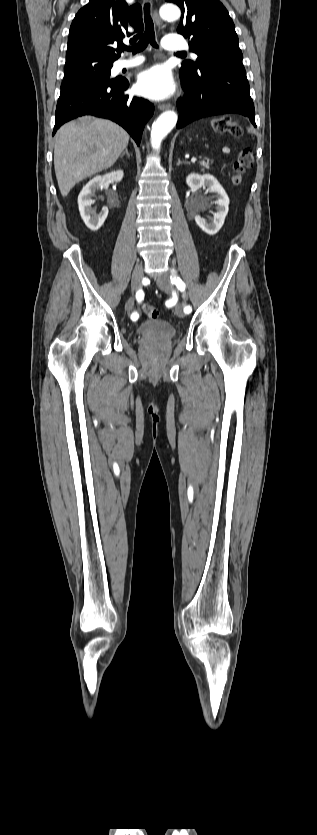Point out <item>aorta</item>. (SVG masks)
<instances>
[{
	"label": "aorta",
	"mask_w": 317,
	"mask_h": 835,
	"mask_svg": "<svg viewBox=\"0 0 317 835\" xmlns=\"http://www.w3.org/2000/svg\"><path fill=\"white\" fill-rule=\"evenodd\" d=\"M160 14L164 20H171L179 18L181 12L177 6L166 4L161 7ZM177 119V114L174 111L168 110L162 113L153 123L151 129V145L154 149L158 150L160 148L162 140L175 127Z\"/></svg>",
	"instance_id": "aorta-1"
}]
</instances>
